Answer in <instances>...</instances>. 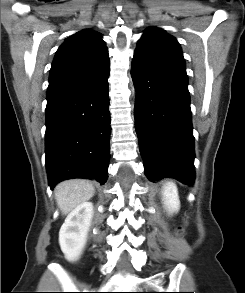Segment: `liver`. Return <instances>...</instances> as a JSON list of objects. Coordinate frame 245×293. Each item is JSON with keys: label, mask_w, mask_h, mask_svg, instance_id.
I'll return each instance as SVG.
<instances>
[{"label": "liver", "mask_w": 245, "mask_h": 293, "mask_svg": "<svg viewBox=\"0 0 245 293\" xmlns=\"http://www.w3.org/2000/svg\"><path fill=\"white\" fill-rule=\"evenodd\" d=\"M94 193V186L89 181L81 179L66 180L54 189L57 205L63 215L91 199Z\"/></svg>", "instance_id": "liver-1"}]
</instances>
